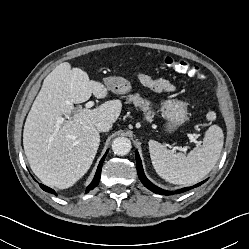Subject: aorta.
<instances>
[{"label": "aorta", "mask_w": 249, "mask_h": 249, "mask_svg": "<svg viewBox=\"0 0 249 249\" xmlns=\"http://www.w3.org/2000/svg\"><path fill=\"white\" fill-rule=\"evenodd\" d=\"M131 141L126 137H117L112 142V150L116 155H127L131 150Z\"/></svg>", "instance_id": "aorta-1"}]
</instances>
